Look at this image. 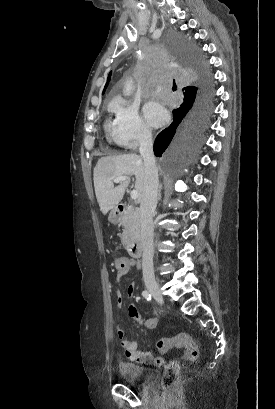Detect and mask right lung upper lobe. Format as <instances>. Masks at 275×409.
I'll return each mask as SVG.
<instances>
[{"label":"right lung upper lobe","instance_id":"cb5924a9","mask_svg":"<svg viewBox=\"0 0 275 409\" xmlns=\"http://www.w3.org/2000/svg\"><path fill=\"white\" fill-rule=\"evenodd\" d=\"M111 73H112V72H110L109 75H108V79H107L105 88H104V90H103V94L105 93V89H106V87L108 86V83H109V81H110ZM183 90H185V92H184V96H185V97H184V102H186V101L191 97V95L193 94V92H194V90H195V86H187V87L183 88ZM184 102H183V103H184Z\"/></svg>","mask_w":275,"mask_h":409}]
</instances>
